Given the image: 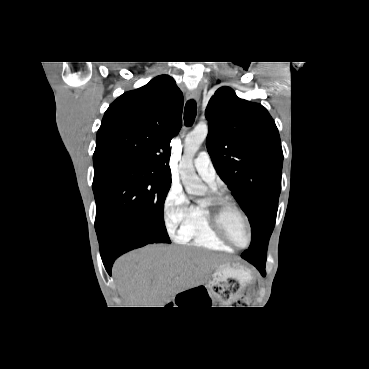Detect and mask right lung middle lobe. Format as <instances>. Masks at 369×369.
<instances>
[{
	"instance_id": "obj_1",
	"label": "right lung middle lobe",
	"mask_w": 369,
	"mask_h": 369,
	"mask_svg": "<svg viewBox=\"0 0 369 369\" xmlns=\"http://www.w3.org/2000/svg\"><path fill=\"white\" fill-rule=\"evenodd\" d=\"M171 178L131 167H94L95 230L98 239L120 224L140 230L155 243H171L164 223V201Z\"/></svg>"
}]
</instances>
